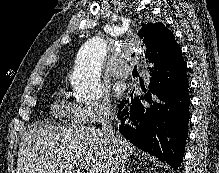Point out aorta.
Returning <instances> with one entry per match:
<instances>
[{
    "label": "aorta",
    "mask_w": 219,
    "mask_h": 173,
    "mask_svg": "<svg viewBox=\"0 0 219 173\" xmlns=\"http://www.w3.org/2000/svg\"><path fill=\"white\" fill-rule=\"evenodd\" d=\"M106 53V43L100 37L87 40L80 48L72 80L78 99L91 101L100 97V74Z\"/></svg>",
    "instance_id": "1"
}]
</instances>
